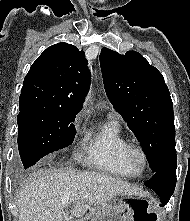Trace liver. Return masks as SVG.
<instances>
[{"label":"liver","instance_id":"obj_1","mask_svg":"<svg viewBox=\"0 0 190 221\" xmlns=\"http://www.w3.org/2000/svg\"><path fill=\"white\" fill-rule=\"evenodd\" d=\"M86 193L91 197L82 199ZM129 183L98 172H76L69 169H39L18 193L19 221H65L71 208L75 221H83L90 206L100 208L116 195H139ZM79 201L77 204L76 202Z\"/></svg>","mask_w":190,"mask_h":221}]
</instances>
